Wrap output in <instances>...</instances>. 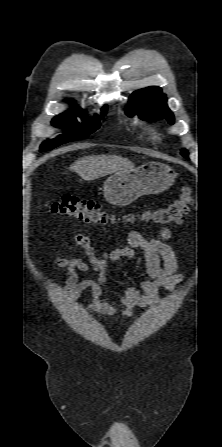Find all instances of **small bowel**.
Returning <instances> with one entry per match:
<instances>
[{"mask_svg": "<svg viewBox=\"0 0 222 447\" xmlns=\"http://www.w3.org/2000/svg\"><path fill=\"white\" fill-rule=\"evenodd\" d=\"M171 231L161 228L156 237L146 238L138 231H131L127 236L128 246L103 252L96 255L91 239L83 234L73 237V242L82 248L87 260L63 257L60 253L55 255L56 264L65 269L67 280L65 296L68 301L83 291L89 289L92 295L90 310L105 317H130L135 307H147L159 300L161 289L172 290L181 281L182 275L178 271V257L173 247L168 243ZM144 251L145 268L148 279L141 284L140 291L135 286H128L119 295L122 310L116 309L112 304L103 301L104 288L109 282L111 266L121 260L135 257V250ZM163 260V264H161ZM91 272L96 275L94 279L79 280L77 272Z\"/></svg>", "mask_w": 222, "mask_h": 447, "instance_id": "small-bowel-1", "label": "small bowel"}]
</instances>
